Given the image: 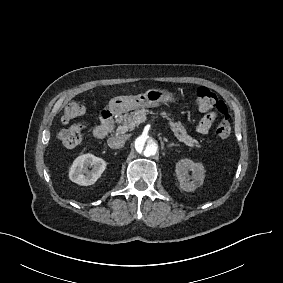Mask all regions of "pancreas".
<instances>
[{
	"label": "pancreas",
	"mask_w": 283,
	"mask_h": 283,
	"mask_svg": "<svg viewBox=\"0 0 283 283\" xmlns=\"http://www.w3.org/2000/svg\"><path fill=\"white\" fill-rule=\"evenodd\" d=\"M152 113V111L142 110L137 112H132L131 114H126L124 116H119L115 123L118 124L116 133L117 134H123L126 131H130L133 129L135 125H138L146 120V113ZM159 112L156 111V114ZM161 116H164L166 119H168V126L174 133V136L181 142H183L185 145L189 147L195 146L196 148L201 149V144L198 143L197 140H194L191 138L190 135L187 134V132L184 130V127L181 125L180 122L175 123L173 122L174 116L167 112L163 111L160 113Z\"/></svg>",
	"instance_id": "obj_1"
}]
</instances>
